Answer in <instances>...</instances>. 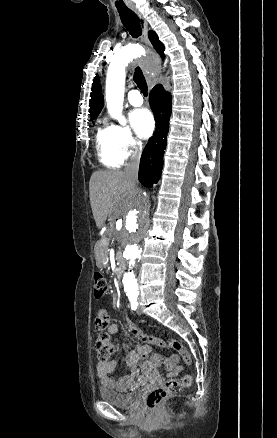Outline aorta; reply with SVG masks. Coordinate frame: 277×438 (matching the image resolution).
I'll list each match as a JSON object with an SVG mask.
<instances>
[{"label":"aorta","instance_id":"762f6f07","mask_svg":"<svg viewBox=\"0 0 277 438\" xmlns=\"http://www.w3.org/2000/svg\"><path fill=\"white\" fill-rule=\"evenodd\" d=\"M144 49L137 44L123 47L111 60L106 78V102L109 114L120 124L126 120L122 115L125 85V67L140 57ZM112 232L129 269L136 265L142 255V244L151 227L149 197L146 192L134 191L124 197L115 207L111 219ZM127 295L137 294L138 283L133 272L123 276Z\"/></svg>","mask_w":277,"mask_h":438}]
</instances>
